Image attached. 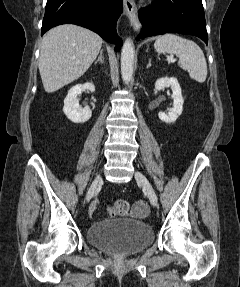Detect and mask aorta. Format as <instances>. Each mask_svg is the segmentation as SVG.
<instances>
[{"instance_id":"1","label":"aorta","mask_w":240,"mask_h":287,"mask_svg":"<svg viewBox=\"0 0 240 287\" xmlns=\"http://www.w3.org/2000/svg\"><path fill=\"white\" fill-rule=\"evenodd\" d=\"M135 49L130 39H126L121 52V75L123 82L128 84L133 75Z\"/></svg>"}]
</instances>
